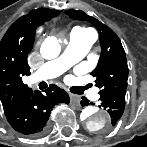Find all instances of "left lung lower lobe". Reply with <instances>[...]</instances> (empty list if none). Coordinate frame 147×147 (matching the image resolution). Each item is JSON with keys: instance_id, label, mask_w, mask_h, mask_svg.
<instances>
[{"instance_id": "left-lung-lower-lobe-1", "label": "left lung lower lobe", "mask_w": 147, "mask_h": 147, "mask_svg": "<svg viewBox=\"0 0 147 147\" xmlns=\"http://www.w3.org/2000/svg\"><path fill=\"white\" fill-rule=\"evenodd\" d=\"M125 94L126 89L114 88L100 94V105L110 114V126H115L121 118L125 109ZM89 104V101L83 97L81 101L82 106Z\"/></svg>"}]
</instances>
